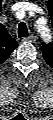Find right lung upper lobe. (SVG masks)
Returning a JSON list of instances; mask_svg holds the SVG:
<instances>
[{"label": "right lung upper lobe", "mask_w": 53, "mask_h": 120, "mask_svg": "<svg viewBox=\"0 0 53 120\" xmlns=\"http://www.w3.org/2000/svg\"><path fill=\"white\" fill-rule=\"evenodd\" d=\"M16 48V40L12 38L5 27L2 26L0 28V63H3Z\"/></svg>", "instance_id": "cb5924a9"}]
</instances>
